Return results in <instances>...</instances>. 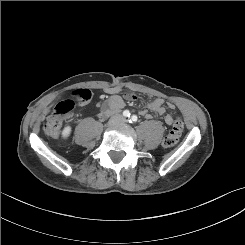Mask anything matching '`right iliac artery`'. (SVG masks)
<instances>
[{
    "label": "right iliac artery",
    "instance_id": "1",
    "mask_svg": "<svg viewBox=\"0 0 245 245\" xmlns=\"http://www.w3.org/2000/svg\"><path fill=\"white\" fill-rule=\"evenodd\" d=\"M123 116H124V117H130V112H129L128 110H125V111L123 112Z\"/></svg>",
    "mask_w": 245,
    "mask_h": 245
}]
</instances>
